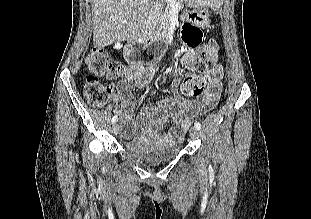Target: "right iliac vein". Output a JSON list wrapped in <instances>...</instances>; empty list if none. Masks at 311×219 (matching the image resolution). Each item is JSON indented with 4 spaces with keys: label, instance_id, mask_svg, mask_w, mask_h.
<instances>
[{
    "label": "right iliac vein",
    "instance_id": "1",
    "mask_svg": "<svg viewBox=\"0 0 311 219\" xmlns=\"http://www.w3.org/2000/svg\"><path fill=\"white\" fill-rule=\"evenodd\" d=\"M119 131H120V127H119V125L118 124H113L112 125V132H113V134L114 135H117L118 133H119Z\"/></svg>",
    "mask_w": 311,
    "mask_h": 219
}]
</instances>
